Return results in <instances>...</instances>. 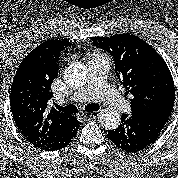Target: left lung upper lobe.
Here are the masks:
<instances>
[{
  "instance_id": "left-lung-upper-lobe-1",
  "label": "left lung upper lobe",
  "mask_w": 178,
  "mask_h": 178,
  "mask_svg": "<svg viewBox=\"0 0 178 178\" xmlns=\"http://www.w3.org/2000/svg\"><path fill=\"white\" fill-rule=\"evenodd\" d=\"M93 45L114 58L115 73L126 93L133 95L132 113L171 114L175 88L171 72L156 50L131 34L92 37Z\"/></svg>"
}]
</instances>
